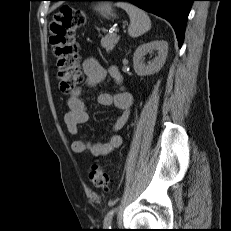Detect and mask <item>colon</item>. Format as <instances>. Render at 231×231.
<instances>
[{
  "mask_svg": "<svg viewBox=\"0 0 231 231\" xmlns=\"http://www.w3.org/2000/svg\"><path fill=\"white\" fill-rule=\"evenodd\" d=\"M86 22L80 9L62 7L51 23L50 44L57 63V78L63 93H71L82 81L79 46L75 41L76 31ZM89 179L97 187H107L110 182L107 171L99 164L89 169Z\"/></svg>",
  "mask_w": 231,
  "mask_h": 231,
  "instance_id": "1",
  "label": "colon"
}]
</instances>
